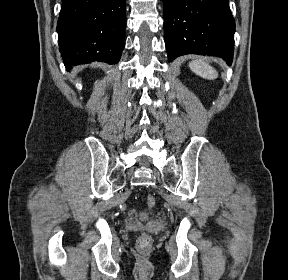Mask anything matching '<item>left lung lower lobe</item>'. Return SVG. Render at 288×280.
Returning <instances> with one entry per match:
<instances>
[{
  "instance_id": "left-lung-lower-lobe-1",
  "label": "left lung lower lobe",
  "mask_w": 288,
  "mask_h": 280,
  "mask_svg": "<svg viewBox=\"0 0 288 280\" xmlns=\"http://www.w3.org/2000/svg\"><path fill=\"white\" fill-rule=\"evenodd\" d=\"M168 60L186 54L223 58L231 65L235 21L229 0H163Z\"/></svg>"
}]
</instances>
